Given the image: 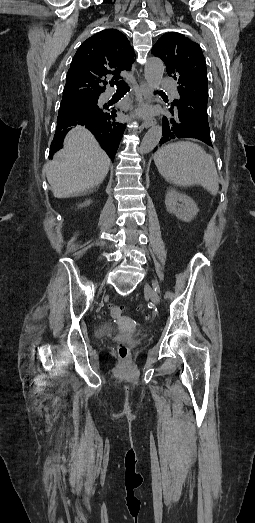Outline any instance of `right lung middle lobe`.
<instances>
[{
	"instance_id": "1",
	"label": "right lung middle lobe",
	"mask_w": 255,
	"mask_h": 523,
	"mask_svg": "<svg viewBox=\"0 0 255 523\" xmlns=\"http://www.w3.org/2000/svg\"><path fill=\"white\" fill-rule=\"evenodd\" d=\"M81 104H82L83 106H86V105L88 104V101H87L86 99H83V100L81 101Z\"/></svg>"
}]
</instances>
